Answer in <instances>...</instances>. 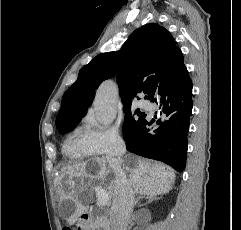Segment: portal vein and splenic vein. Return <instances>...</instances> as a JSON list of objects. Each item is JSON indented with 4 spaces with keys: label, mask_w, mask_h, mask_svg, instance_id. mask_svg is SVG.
I'll return each instance as SVG.
<instances>
[{
    "label": "portal vein and splenic vein",
    "mask_w": 241,
    "mask_h": 230,
    "mask_svg": "<svg viewBox=\"0 0 241 230\" xmlns=\"http://www.w3.org/2000/svg\"><path fill=\"white\" fill-rule=\"evenodd\" d=\"M97 198H98L97 200L98 207L105 206L109 201L108 194L105 193V191H103L102 189H97Z\"/></svg>",
    "instance_id": "portal-vein-and-splenic-vein-1"
}]
</instances>
